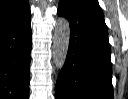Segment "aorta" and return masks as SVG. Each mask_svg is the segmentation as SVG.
Returning a JSON list of instances; mask_svg holds the SVG:
<instances>
[{"label":"aorta","mask_w":128,"mask_h":99,"mask_svg":"<svg viewBox=\"0 0 128 99\" xmlns=\"http://www.w3.org/2000/svg\"><path fill=\"white\" fill-rule=\"evenodd\" d=\"M70 24L67 19H57L53 35V62L58 70L65 64L69 48Z\"/></svg>","instance_id":"aorta-1"}]
</instances>
